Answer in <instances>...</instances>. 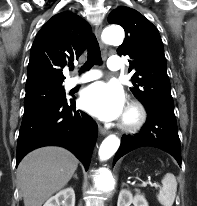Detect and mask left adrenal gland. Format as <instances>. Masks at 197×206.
Masks as SVG:
<instances>
[{
    "instance_id": "1",
    "label": "left adrenal gland",
    "mask_w": 197,
    "mask_h": 206,
    "mask_svg": "<svg viewBox=\"0 0 197 206\" xmlns=\"http://www.w3.org/2000/svg\"><path fill=\"white\" fill-rule=\"evenodd\" d=\"M125 185H126V183L123 182V183H122V186H125Z\"/></svg>"
}]
</instances>
